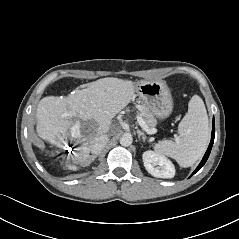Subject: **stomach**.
I'll return each mask as SVG.
<instances>
[{
  "label": "stomach",
  "mask_w": 239,
  "mask_h": 239,
  "mask_svg": "<svg viewBox=\"0 0 239 239\" xmlns=\"http://www.w3.org/2000/svg\"><path fill=\"white\" fill-rule=\"evenodd\" d=\"M135 92L158 119L164 120L172 113L173 98L165 82L140 81L135 84Z\"/></svg>",
  "instance_id": "stomach-1"
}]
</instances>
